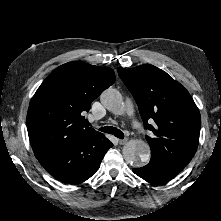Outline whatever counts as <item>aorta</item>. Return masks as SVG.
<instances>
[{"mask_svg": "<svg viewBox=\"0 0 221 221\" xmlns=\"http://www.w3.org/2000/svg\"><path fill=\"white\" fill-rule=\"evenodd\" d=\"M100 101L107 110L113 113L121 114L124 110L122 95L116 89L108 88L103 91ZM122 154L127 163L140 167L149 160L150 147L144 141L130 140L124 145Z\"/></svg>", "mask_w": 221, "mask_h": 221, "instance_id": "762f6f07", "label": "aorta"}]
</instances>
